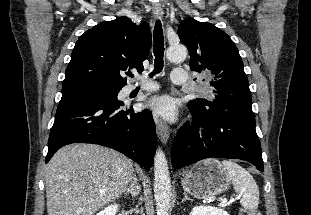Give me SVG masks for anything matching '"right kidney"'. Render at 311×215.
<instances>
[{
	"instance_id": "obj_1",
	"label": "right kidney",
	"mask_w": 311,
	"mask_h": 215,
	"mask_svg": "<svg viewBox=\"0 0 311 215\" xmlns=\"http://www.w3.org/2000/svg\"><path fill=\"white\" fill-rule=\"evenodd\" d=\"M118 204H111L108 207L104 208V210L100 211L96 215H115L118 210Z\"/></svg>"
}]
</instances>
